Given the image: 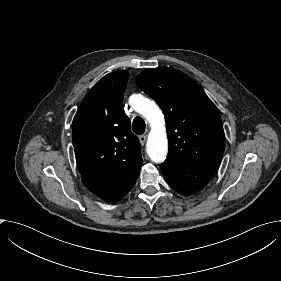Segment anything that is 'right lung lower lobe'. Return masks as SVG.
<instances>
[{"mask_svg":"<svg viewBox=\"0 0 281 281\" xmlns=\"http://www.w3.org/2000/svg\"><path fill=\"white\" fill-rule=\"evenodd\" d=\"M142 163L137 165L133 171L109 194L101 197L106 202L115 203L121 200L134 186Z\"/></svg>","mask_w":281,"mask_h":281,"instance_id":"1","label":"right lung lower lobe"}]
</instances>
